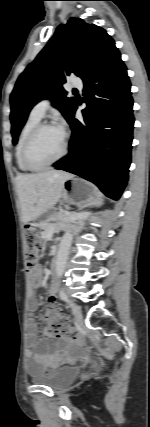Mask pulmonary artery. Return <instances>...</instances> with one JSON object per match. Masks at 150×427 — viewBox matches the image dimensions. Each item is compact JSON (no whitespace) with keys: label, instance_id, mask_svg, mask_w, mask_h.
<instances>
[{"label":"pulmonary artery","instance_id":"1","mask_svg":"<svg viewBox=\"0 0 150 427\" xmlns=\"http://www.w3.org/2000/svg\"><path fill=\"white\" fill-rule=\"evenodd\" d=\"M71 85L75 88L78 89H82L83 84L82 81L78 78H75L71 81ZM51 107V100L50 99H42L41 101H39L32 109V112L42 118L45 116L46 112L50 109Z\"/></svg>","mask_w":150,"mask_h":427}]
</instances>
